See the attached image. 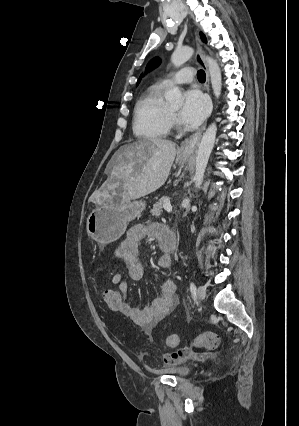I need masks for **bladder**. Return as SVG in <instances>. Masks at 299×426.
<instances>
[{
	"label": "bladder",
	"instance_id": "obj_1",
	"mask_svg": "<svg viewBox=\"0 0 299 426\" xmlns=\"http://www.w3.org/2000/svg\"><path fill=\"white\" fill-rule=\"evenodd\" d=\"M164 371L166 373H169L178 377H185L191 373V369L187 366L167 367L164 369Z\"/></svg>",
	"mask_w": 299,
	"mask_h": 426
}]
</instances>
